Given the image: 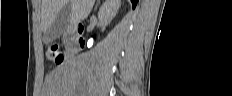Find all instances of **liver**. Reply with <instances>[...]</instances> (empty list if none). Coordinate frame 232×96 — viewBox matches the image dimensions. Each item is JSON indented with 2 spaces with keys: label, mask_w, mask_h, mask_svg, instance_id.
Here are the masks:
<instances>
[{
  "label": "liver",
  "mask_w": 232,
  "mask_h": 96,
  "mask_svg": "<svg viewBox=\"0 0 232 96\" xmlns=\"http://www.w3.org/2000/svg\"><path fill=\"white\" fill-rule=\"evenodd\" d=\"M95 0H42L41 29L43 33L51 26L61 8L70 3L71 12L68 21L77 24L87 18Z\"/></svg>",
  "instance_id": "obj_1"
}]
</instances>
